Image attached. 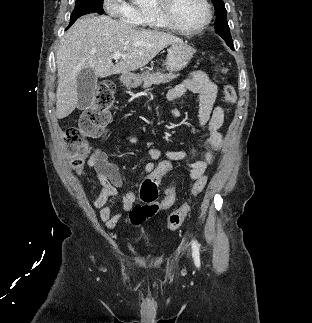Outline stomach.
<instances>
[{"label": "stomach", "mask_w": 312, "mask_h": 323, "mask_svg": "<svg viewBox=\"0 0 312 323\" xmlns=\"http://www.w3.org/2000/svg\"><path fill=\"white\" fill-rule=\"evenodd\" d=\"M195 50L185 44V42H177V44H171L167 58L165 60L166 70L168 72H180L183 68L188 66L191 58H193ZM149 72H143V74H122L120 76V82L127 86V88H137L142 84L144 78H146Z\"/></svg>", "instance_id": "0dacf381"}]
</instances>
